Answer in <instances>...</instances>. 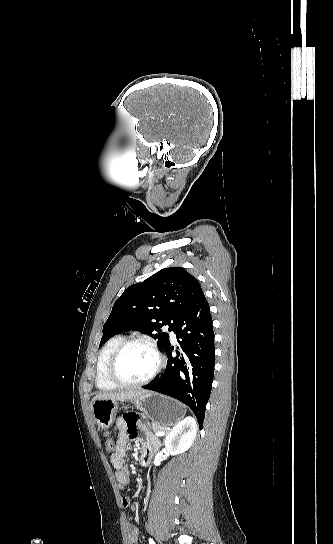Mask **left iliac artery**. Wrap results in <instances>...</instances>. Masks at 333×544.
<instances>
[{
    "label": "left iliac artery",
    "instance_id": "obj_1",
    "mask_svg": "<svg viewBox=\"0 0 333 544\" xmlns=\"http://www.w3.org/2000/svg\"><path fill=\"white\" fill-rule=\"evenodd\" d=\"M149 544H155L152 538H149Z\"/></svg>",
    "mask_w": 333,
    "mask_h": 544
}]
</instances>
